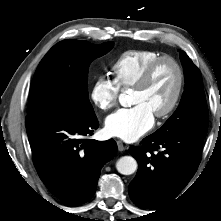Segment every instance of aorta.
Here are the masks:
<instances>
[{
  "mask_svg": "<svg viewBox=\"0 0 221 221\" xmlns=\"http://www.w3.org/2000/svg\"><path fill=\"white\" fill-rule=\"evenodd\" d=\"M137 161L131 156H123L116 162V169L123 175H131L137 170Z\"/></svg>",
  "mask_w": 221,
  "mask_h": 221,
  "instance_id": "obj_1",
  "label": "aorta"
}]
</instances>
